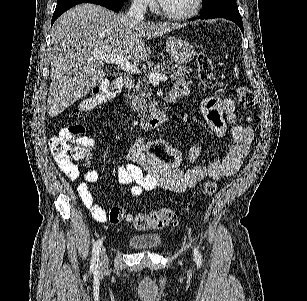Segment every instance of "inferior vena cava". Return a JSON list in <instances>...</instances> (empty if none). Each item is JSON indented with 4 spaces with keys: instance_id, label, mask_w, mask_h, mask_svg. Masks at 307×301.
I'll return each instance as SVG.
<instances>
[{
    "instance_id": "602c4592",
    "label": "inferior vena cava",
    "mask_w": 307,
    "mask_h": 301,
    "mask_svg": "<svg viewBox=\"0 0 307 301\" xmlns=\"http://www.w3.org/2000/svg\"><path fill=\"white\" fill-rule=\"evenodd\" d=\"M146 8L147 4L144 0H132V4L127 14L134 18V22H139V20H143Z\"/></svg>"
}]
</instances>
